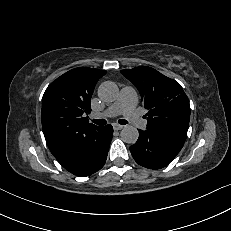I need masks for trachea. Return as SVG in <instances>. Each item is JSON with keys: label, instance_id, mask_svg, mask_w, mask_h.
Returning a JSON list of instances; mask_svg holds the SVG:
<instances>
[{"label": "trachea", "instance_id": "1", "mask_svg": "<svg viewBox=\"0 0 231 231\" xmlns=\"http://www.w3.org/2000/svg\"><path fill=\"white\" fill-rule=\"evenodd\" d=\"M92 122L97 124V125H105L107 123V121L105 119H95V120H92ZM118 123L121 125H125L128 122L125 119H120V120H118Z\"/></svg>", "mask_w": 231, "mask_h": 231}]
</instances>
